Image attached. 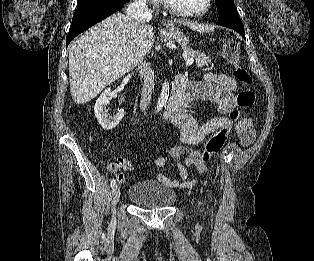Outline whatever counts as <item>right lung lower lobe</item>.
<instances>
[{"instance_id":"1","label":"right lung lower lobe","mask_w":314,"mask_h":261,"mask_svg":"<svg viewBox=\"0 0 314 261\" xmlns=\"http://www.w3.org/2000/svg\"><path fill=\"white\" fill-rule=\"evenodd\" d=\"M122 3L126 2H112L109 4L94 7L83 13L75 14L67 36L66 46H68L71 40L79 35L81 32L87 30L88 28L110 16L114 12L122 9Z\"/></svg>"}]
</instances>
